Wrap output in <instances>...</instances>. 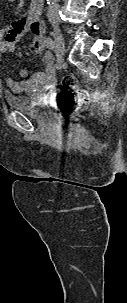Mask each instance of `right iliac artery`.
Instances as JSON below:
<instances>
[{
    "instance_id": "obj_1",
    "label": "right iliac artery",
    "mask_w": 127,
    "mask_h": 303,
    "mask_svg": "<svg viewBox=\"0 0 127 303\" xmlns=\"http://www.w3.org/2000/svg\"><path fill=\"white\" fill-rule=\"evenodd\" d=\"M46 45L49 49H54V47H55V43H54L53 39L50 37H48L46 39Z\"/></svg>"
}]
</instances>
